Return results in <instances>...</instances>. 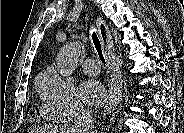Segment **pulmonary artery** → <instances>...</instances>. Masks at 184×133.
<instances>
[{
    "label": "pulmonary artery",
    "instance_id": "pulmonary-artery-1",
    "mask_svg": "<svg viewBox=\"0 0 184 133\" xmlns=\"http://www.w3.org/2000/svg\"><path fill=\"white\" fill-rule=\"evenodd\" d=\"M81 67L84 73L88 75H97L99 73L98 61L94 58L86 59Z\"/></svg>",
    "mask_w": 184,
    "mask_h": 133
}]
</instances>
